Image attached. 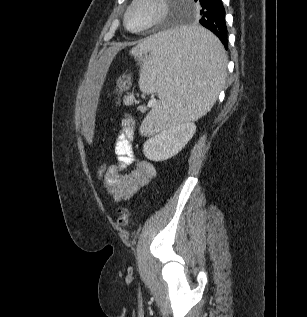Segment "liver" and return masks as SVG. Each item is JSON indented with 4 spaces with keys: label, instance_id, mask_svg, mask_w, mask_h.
Wrapping results in <instances>:
<instances>
[{
    "label": "liver",
    "instance_id": "1",
    "mask_svg": "<svg viewBox=\"0 0 307 317\" xmlns=\"http://www.w3.org/2000/svg\"><path fill=\"white\" fill-rule=\"evenodd\" d=\"M121 50L120 44H114L112 48H106L102 55L97 56L96 63L93 64V71L88 74L87 81L84 86L82 98L84 101H78V108H82L83 112L79 113V118L82 119L81 127L83 142H96L97 136L95 131L94 111L97 108L100 94V89H103L105 78L109 74V68Z\"/></svg>",
    "mask_w": 307,
    "mask_h": 317
}]
</instances>
